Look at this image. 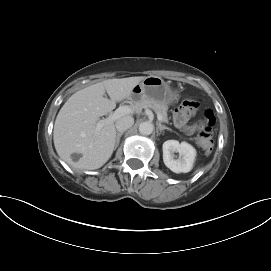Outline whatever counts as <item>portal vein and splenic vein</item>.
<instances>
[{
  "instance_id": "portal-vein-and-splenic-vein-1",
  "label": "portal vein and splenic vein",
  "mask_w": 271,
  "mask_h": 271,
  "mask_svg": "<svg viewBox=\"0 0 271 271\" xmlns=\"http://www.w3.org/2000/svg\"><path fill=\"white\" fill-rule=\"evenodd\" d=\"M133 112V108L130 106H121L118 109L115 110L114 113L110 114L107 118L98 121L96 126V131H100V129L105 125L112 123L119 119L120 117L130 114ZM157 118L159 121H162V116L160 114H157Z\"/></svg>"
}]
</instances>
